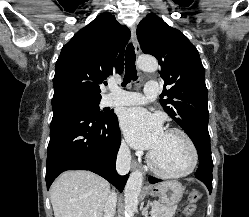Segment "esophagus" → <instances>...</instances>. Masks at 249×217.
<instances>
[{"mask_svg": "<svg viewBox=\"0 0 249 217\" xmlns=\"http://www.w3.org/2000/svg\"><path fill=\"white\" fill-rule=\"evenodd\" d=\"M131 35H132V42H133V45H134V48H135V52L136 54H139L140 53V45L137 41V37H136V26L133 25L131 27ZM131 166L133 169H136L138 167V162L136 160H133L132 163H131Z\"/></svg>", "mask_w": 249, "mask_h": 217, "instance_id": "esophagus-1", "label": "esophagus"}]
</instances>
